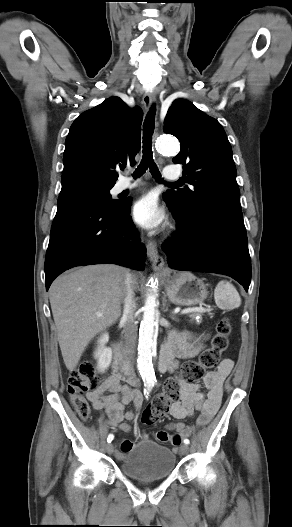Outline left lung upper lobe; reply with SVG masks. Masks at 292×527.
<instances>
[{"label": "left lung upper lobe", "instance_id": "1", "mask_svg": "<svg viewBox=\"0 0 292 527\" xmlns=\"http://www.w3.org/2000/svg\"><path fill=\"white\" fill-rule=\"evenodd\" d=\"M164 132L179 139L181 150L173 162L183 164L184 181L194 186L164 193L171 212L182 220L209 209L241 211L232 148L220 123L177 99L167 112Z\"/></svg>", "mask_w": 292, "mask_h": 527}]
</instances>
